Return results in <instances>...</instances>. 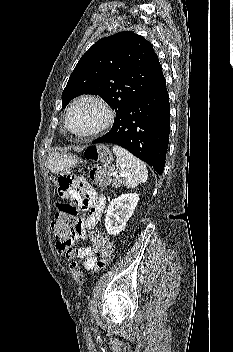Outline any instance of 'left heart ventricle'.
Here are the masks:
<instances>
[{"instance_id":"1","label":"left heart ventricle","mask_w":233,"mask_h":352,"mask_svg":"<svg viewBox=\"0 0 233 352\" xmlns=\"http://www.w3.org/2000/svg\"><path fill=\"white\" fill-rule=\"evenodd\" d=\"M104 112L100 106L93 102H83L77 105L70 117V123L74 130L87 132L101 123Z\"/></svg>"}]
</instances>
